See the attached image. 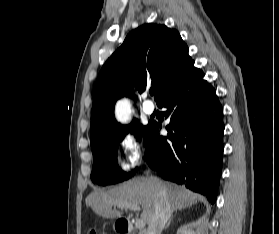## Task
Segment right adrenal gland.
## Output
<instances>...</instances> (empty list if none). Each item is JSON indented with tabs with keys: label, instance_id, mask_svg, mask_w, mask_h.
Returning a JSON list of instances; mask_svg holds the SVG:
<instances>
[{
	"label": "right adrenal gland",
	"instance_id": "obj_1",
	"mask_svg": "<svg viewBox=\"0 0 279 234\" xmlns=\"http://www.w3.org/2000/svg\"><path fill=\"white\" fill-rule=\"evenodd\" d=\"M172 217H173V215L170 216V218H169L167 224L165 225L164 229H167L169 227V225L171 223V220H172Z\"/></svg>",
	"mask_w": 279,
	"mask_h": 234
}]
</instances>
